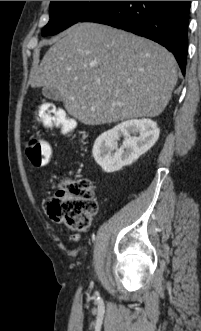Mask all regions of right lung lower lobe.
I'll list each match as a JSON object with an SVG mask.
<instances>
[{"label": "right lung lower lobe", "instance_id": "1", "mask_svg": "<svg viewBox=\"0 0 201 331\" xmlns=\"http://www.w3.org/2000/svg\"><path fill=\"white\" fill-rule=\"evenodd\" d=\"M190 1H106L80 22H96L154 40L185 73Z\"/></svg>", "mask_w": 201, "mask_h": 331}]
</instances>
